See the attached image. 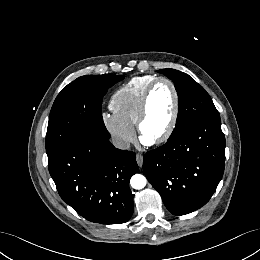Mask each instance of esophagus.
Masks as SVG:
<instances>
[{
    "instance_id": "1",
    "label": "esophagus",
    "mask_w": 260,
    "mask_h": 260,
    "mask_svg": "<svg viewBox=\"0 0 260 260\" xmlns=\"http://www.w3.org/2000/svg\"><path fill=\"white\" fill-rule=\"evenodd\" d=\"M136 161L139 167H142L143 165V156L141 154L136 155Z\"/></svg>"
}]
</instances>
